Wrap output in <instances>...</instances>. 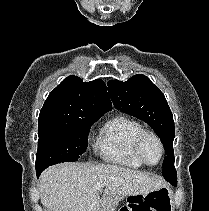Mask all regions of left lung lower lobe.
Returning <instances> with one entry per match:
<instances>
[{
	"instance_id": "left-lung-lower-lobe-1",
	"label": "left lung lower lobe",
	"mask_w": 209,
	"mask_h": 211,
	"mask_svg": "<svg viewBox=\"0 0 209 211\" xmlns=\"http://www.w3.org/2000/svg\"><path fill=\"white\" fill-rule=\"evenodd\" d=\"M165 179L170 182L173 186H177V175H174L173 177L167 176Z\"/></svg>"
}]
</instances>
